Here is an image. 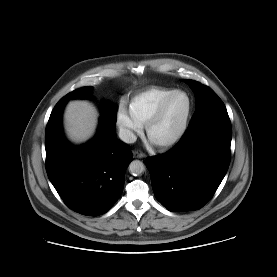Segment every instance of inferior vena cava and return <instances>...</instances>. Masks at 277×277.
Here are the masks:
<instances>
[{"label":"inferior vena cava","instance_id":"602c4592","mask_svg":"<svg viewBox=\"0 0 277 277\" xmlns=\"http://www.w3.org/2000/svg\"><path fill=\"white\" fill-rule=\"evenodd\" d=\"M119 137L125 143H134L137 139L136 135L132 131L123 127L119 130Z\"/></svg>","mask_w":277,"mask_h":277}]
</instances>
